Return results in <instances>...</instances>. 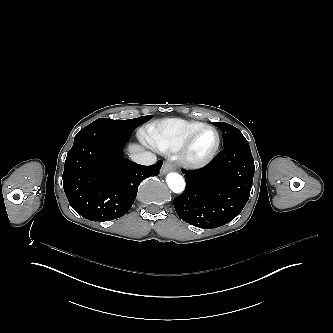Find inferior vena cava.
<instances>
[{
    "label": "inferior vena cava",
    "instance_id": "602c4592",
    "mask_svg": "<svg viewBox=\"0 0 333 333\" xmlns=\"http://www.w3.org/2000/svg\"><path fill=\"white\" fill-rule=\"evenodd\" d=\"M130 158L133 162L144 166H151L155 164L157 160L154 154L147 151L133 153L130 155Z\"/></svg>",
    "mask_w": 333,
    "mask_h": 333
}]
</instances>
